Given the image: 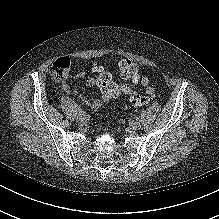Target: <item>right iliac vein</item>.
<instances>
[{"mask_svg":"<svg viewBox=\"0 0 219 219\" xmlns=\"http://www.w3.org/2000/svg\"><path fill=\"white\" fill-rule=\"evenodd\" d=\"M85 119H86L85 113H79V114L77 115V120H78L79 122H83Z\"/></svg>","mask_w":219,"mask_h":219,"instance_id":"1","label":"right iliac vein"}]
</instances>
